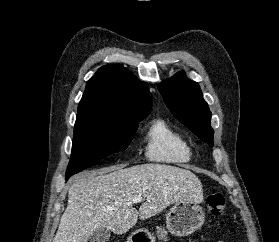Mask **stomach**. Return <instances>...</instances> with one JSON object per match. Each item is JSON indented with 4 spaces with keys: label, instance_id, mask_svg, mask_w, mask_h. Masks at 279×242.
Masks as SVG:
<instances>
[{
    "label": "stomach",
    "instance_id": "stomach-1",
    "mask_svg": "<svg viewBox=\"0 0 279 242\" xmlns=\"http://www.w3.org/2000/svg\"><path fill=\"white\" fill-rule=\"evenodd\" d=\"M205 221L202 207L192 200H180L166 215V230L158 227V238L166 240L167 234L183 237L199 230ZM128 242H155L154 236L146 229H138L129 236Z\"/></svg>",
    "mask_w": 279,
    "mask_h": 242
}]
</instances>
